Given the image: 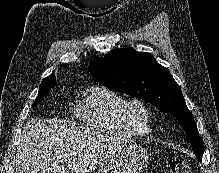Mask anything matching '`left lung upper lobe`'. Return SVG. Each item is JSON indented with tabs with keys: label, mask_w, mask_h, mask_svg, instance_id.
I'll return each instance as SVG.
<instances>
[{
	"label": "left lung upper lobe",
	"mask_w": 219,
	"mask_h": 173,
	"mask_svg": "<svg viewBox=\"0 0 219 173\" xmlns=\"http://www.w3.org/2000/svg\"><path fill=\"white\" fill-rule=\"evenodd\" d=\"M89 71L104 86L142 98L174 114L184 127L196 157L201 160L203 141L182 91L167 68L158 64L150 53L137 52L131 47L116 49L103 58L93 59Z\"/></svg>",
	"instance_id": "5c2ea615"
}]
</instances>
